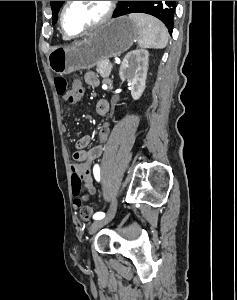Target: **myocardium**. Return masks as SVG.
Wrapping results in <instances>:
<instances>
[{
	"label": "myocardium",
	"mask_w": 237,
	"mask_h": 300,
	"mask_svg": "<svg viewBox=\"0 0 237 300\" xmlns=\"http://www.w3.org/2000/svg\"><path fill=\"white\" fill-rule=\"evenodd\" d=\"M72 3V1H66L61 9L60 12V17H59V25H60V30L61 33L63 34V36L73 39V38H77L79 36H82L90 31H93L95 29H98L100 27H102L103 25H105L106 23H108L113 14H114V10H115V1H106V11L104 13V15L95 23L91 24L90 26L86 27L85 29H83L82 31H80L77 34H69L65 27H64V16H65V12L68 8V6Z\"/></svg>",
	"instance_id": "obj_1"
}]
</instances>
